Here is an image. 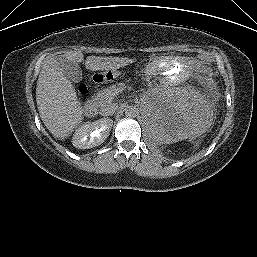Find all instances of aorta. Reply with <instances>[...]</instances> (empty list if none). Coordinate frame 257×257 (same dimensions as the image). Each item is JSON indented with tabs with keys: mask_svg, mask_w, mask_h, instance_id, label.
<instances>
[{
	"mask_svg": "<svg viewBox=\"0 0 257 257\" xmlns=\"http://www.w3.org/2000/svg\"><path fill=\"white\" fill-rule=\"evenodd\" d=\"M124 110L127 117H136L138 114V109L133 105H127Z\"/></svg>",
	"mask_w": 257,
	"mask_h": 257,
	"instance_id": "aorta-1",
	"label": "aorta"
}]
</instances>
